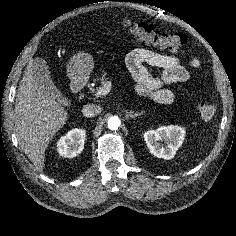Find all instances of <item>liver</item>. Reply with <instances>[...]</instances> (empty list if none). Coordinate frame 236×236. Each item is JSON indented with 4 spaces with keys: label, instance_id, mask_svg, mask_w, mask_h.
Listing matches in <instances>:
<instances>
[{
    "label": "liver",
    "instance_id": "liver-1",
    "mask_svg": "<svg viewBox=\"0 0 236 236\" xmlns=\"http://www.w3.org/2000/svg\"><path fill=\"white\" fill-rule=\"evenodd\" d=\"M33 62L29 61L18 88L14 120L19 146L42 172L45 150L66 123L68 113L55 98L41 92L32 72Z\"/></svg>",
    "mask_w": 236,
    "mask_h": 236
}]
</instances>
